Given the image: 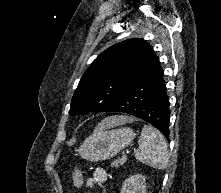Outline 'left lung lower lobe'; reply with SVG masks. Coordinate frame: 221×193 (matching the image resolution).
I'll return each instance as SVG.
<instances>
[{
    "label": "left lung lower lobe",
    "mask_w": 221,
    "mask_h": 193,
    "mask_svg": "<svg viewBox=\"0 0 221 193\" xmlns=\"http://www.w3.org/2000/svg\"><path fill=\"white\" fill-rule=\"evenodd\" d=\"M159 61L137 77L106 112H122L141 118L169 140V99Z\"/></svg>",
    "instance_id": "1"
}]
</instances>
